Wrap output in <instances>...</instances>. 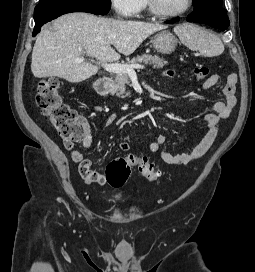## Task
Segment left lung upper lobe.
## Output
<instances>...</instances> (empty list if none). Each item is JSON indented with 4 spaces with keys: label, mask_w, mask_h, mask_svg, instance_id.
I'll list each match as a JSON object with an SVG mask.
<instances>
[{
    "label": "left lung upper lobe",
    "mask_w": 255,
    "mask_h": 272,
    "mask_svg": "<svg viewBox=\"0 0 255 272\" xmlns=\"http://www.w3.org/2000/svg\"><path fill=\"white\" fill-rule=\"evenodd\" d=\"M193 2L195 4V9L212 3L222 5V0H193Z\"/></svg>",
    "instance_id": "1"
}]
</instances>
